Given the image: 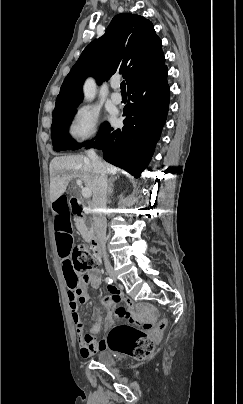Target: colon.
Wrapping results in <instances>:
<instances>
[{
    "label": "colon",
    "instance_id": "1",
    "mask_svg": "<svg viewBox=\"0 0 243 404\" xmlns=\"http://www.w3.org/2000/svg\"><path fill=\"white\" fill-rule=\"evenodd\" d=\"M96 263L95 257L85 245L80 244L74 248L72 269L78 278L81 276V279H85L95 269ZM163 328L164 322H160L151 333L131 325H116L108 334L106 346L114 352L143 359L153 351L155 339Z\"/></svg>",
    "mask_w": 243,
    "mask_h": 404
}]
</instances>
